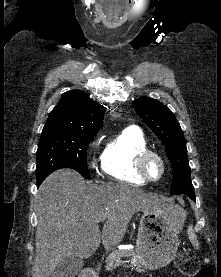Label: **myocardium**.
Listing matches in <instances>:
<instances>
[{
    "label": "myocardium",
    "mask_w": 221,
    "mask_h": 277,
    "mask_svg": "<svg viewBox=\"0 0 221 277\" xmlns=\"http://www.w3.org/2000/svg\"><path fill=\"white\" fill-rule=\"evenodd\" d=\"M156 159L161 166V173L158 178H151L147 173V163L150 159ZM136 170L138 174L146 181V182H158L160 181L166 172V163L164 158L156 151L147 149L141 152L136 159Z\"/></svg>",
    "instance_id": "1"
}]
</instances>
